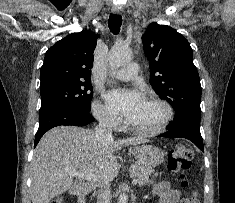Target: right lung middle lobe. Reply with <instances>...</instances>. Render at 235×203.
Returning <instances> with one entry per match:
<instances>
[{
	"label": "right lung middle lobe",
	"instance_id": "dd1d6c3e",
	"mask_svg": "<svg viewBox=\"0 0 235 203\" xmlns=\"http://www.w3.org/2000/svg\"><path fill=\"white\" fill-rule=\"evenodd\" d=\"M92 90L89 80L56 81L40 85L42 103L39 115L66 107L90 111Z\"/></svg>",
	"mask_w": 235,
	"mask_h": 203
}]
</instances>
